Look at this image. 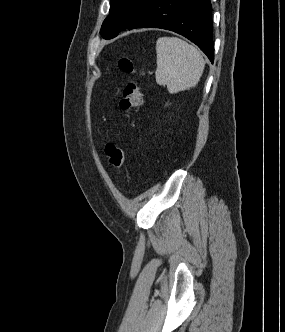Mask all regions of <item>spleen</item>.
I'll return each mask as SVG.
<instances>
[{"mask_svg":"<svg viewBox=\"0 0 285 332\" xmlns=\"http://www.w3.org/2000/svg\"><path fill=\"white\" fill-rule=\"evenodd\" d=\"M156 82L169 93H178L197 85L205 61L201 52L178 37H161L156 42Z\"/></svg>","mask_w":285,"mask_h":332,"instance_id":"obj_1","label":"spleen"}]
</instances>
